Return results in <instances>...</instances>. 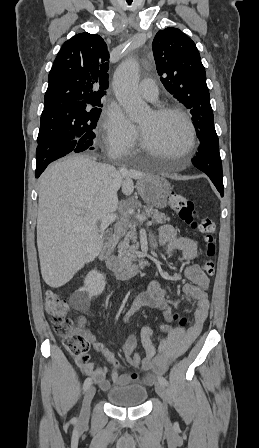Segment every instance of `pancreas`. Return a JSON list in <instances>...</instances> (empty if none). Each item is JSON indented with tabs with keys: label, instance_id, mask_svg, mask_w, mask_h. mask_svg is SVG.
<instances>
[{
	"label": "pancreas",
	"instance_id": "cf45deb5",
	"mask_svg": "<svg viewBox=\"0 0 259 448\" xmlns=\"http://www.w3.org/2000/svg\"><path fill=\"white\" fill-rule=\"evenodd\" d=\"M145 212L146 218H152L154 224H165L166 220H168L165 214H161V212L153 210V208H145ZM136 236L135 228H130L129 232H126L123 242H120L118 246V248H120L118 258L119 260H122V262H125V264L137 262L138 256H136V254L139 250V244ZM130 242H133V246H129Z\"/></svg>",
	"mask_w": 259,
	"mask_h": 448
}]
</instances>
